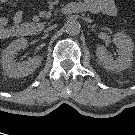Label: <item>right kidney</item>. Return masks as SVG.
I'll use <instances>...</instances> for the list:
<instances>
[{"instance_id": "right-kidney-1", "label": "right kidney", "mask_w": 135, "mask_h": 135, "mask_svg": "<svg viewBox=\"0 0 135 135\" xmlns=\"http://www.w3.org/2000/svg\"><path fill=\"white\" fill-rule=\"evenodd\" d=\"M27 46V39L19 38L9 44L3 51L1 63L8 77L20 78L28 76L40 66L42 57L39 55L29 58L27 61L15 63L14 57L17 52L21 49H25Z\"/></svg>"}]
</instances>
